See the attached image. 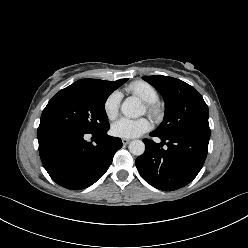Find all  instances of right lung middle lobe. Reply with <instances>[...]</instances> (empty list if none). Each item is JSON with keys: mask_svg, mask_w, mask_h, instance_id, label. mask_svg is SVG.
I'll use <instances>...</instances> for the list:
<instances>
[{"mask_svg": "<svg viewBox=\"0 0 248 248\" xmlns=\"http://www.w3.org/2000/svg\"><path fill=\"white\" fill-rule=\"evenodd\" d=\"M118 86L92 89L70 85L60 90L47 104L41 115L40 125L69 126L86 133L108 129L105 102Z\"/></svg>", "mask_w": 248, "mask_h": 248, "instance_id": "1", "label": "right lung middle lobe"}]
</instances>
